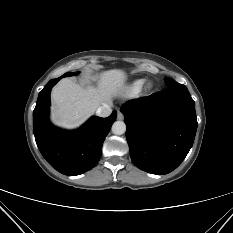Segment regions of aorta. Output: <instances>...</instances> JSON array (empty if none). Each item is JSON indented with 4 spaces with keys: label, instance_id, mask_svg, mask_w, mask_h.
Listing matches in <instances>:
<instances>
[{
    "label": "aorta",
    "instance_id": "obj_1",
    "mask_svg": "<svg viewBox=\"0 0 233 233\" xmlns=\"http://www.w3.org/2000/svg\"><path fill=\"white\" fill-rule=\"evenodd\" d=\"M126 131V125L123 121H116L112 125V132L115 135H122Z\"/></svg>",
    "mask_w": 233,
    "mask_h": 233
}]
</instances>
